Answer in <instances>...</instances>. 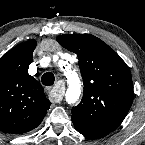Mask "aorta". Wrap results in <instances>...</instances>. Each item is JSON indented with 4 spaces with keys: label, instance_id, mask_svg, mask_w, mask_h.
<instances>
[{
    "label": "aorta",
    "instance_id": "obj_1",
    "mask_svg": "<svg viewBox=\"0 0 145 145\" xmlns=\"http://www.w3.org/2000/svg\"><path fill=\"white\" fill-rule=\"evenodd\" d=\"M68 81V89L66 91V101L71 104L75 103L80 96L81 90H80V80L78 78V75L74 71L68 72L67 76Z\"/></svg>",
    "mask_w": 145,
    "mask_h": 145
}]
</instances>
